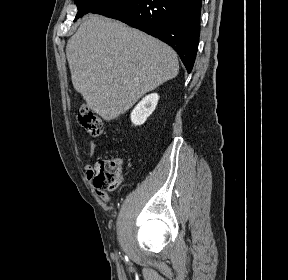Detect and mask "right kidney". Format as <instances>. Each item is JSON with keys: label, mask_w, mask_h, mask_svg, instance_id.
I'll return each mask as SVG.
<instances>
[{"label": "right kidney", "mask_w": 288, "mask_h": 280, "mask_svg": "<svg viewBox=\"0 0 288 280\" xmlns=\"http://www.w3.org/2000/svg\"><path fill=\"white\" fill-rule=\"evenodd\" d=\"M158 100L159 96L157 93L145 96L131 113L132 123L134 125H142L155 110Z\"/></svg>", "instance_id": "obj_1"}]
</instances>
